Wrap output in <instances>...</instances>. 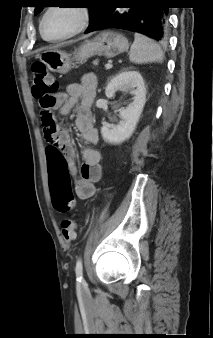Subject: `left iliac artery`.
I'll return each instance as SVG.
<instances>
[{
  "label": "left iliac artery",
  "instance_id": "1",
  "mask_svg": "<svg viewBox=\"0 0 213 338\" xmlns=\"http://www.w3.org/2000/svg\"><path fill=\"white\" fill-rule=\"evenodd\" d=\"M76 277L78 281L83 280V266H82V260L80 258L77 259L76 262Z\"/></svg>",
  "mask_w": 213,
  "mask_h": 338
}]
</instances>
